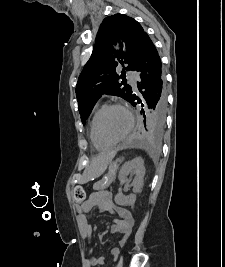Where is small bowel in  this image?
I'll return each instance as SVG.
<instances>
[{"label":"small bowel","mask_w":225,"mask_h":267,"mask_svg":"<svg viewBox=\"0 0 225 267\" xmlns=\"http://www.w3.org/2000/svg\"><path fill=\"white\" fill-rule=\"evenodd\" d=\"M94 209L107 211L116 214L119 217L114 220L111 232L114 234H120L118 243L120 246H123L134 226V219L131 212L126 208L115 205L112 201V196L108 191H97L91 194L89 199L79 209L78 213V221L80 222L84 236L88 241L91 239L92 228L88 223L85 213L91 212ZM119 252V248L114 247L111 249L110 254L113 258H116ZM104 261L103 257L90 258L87 261V267L103 265Z\"/></svg>","instance_id":"c3829d8e"}]
</instances>
